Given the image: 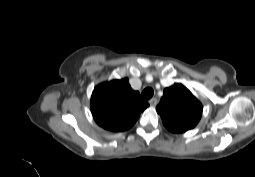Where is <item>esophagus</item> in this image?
Here are the masks:
<instances>
[{
	"label": "esophagus",
	"mask_w": 255,
	"mask_h": 177,
	"mask_svg": "<svg viewBox=\"0 0 255 177\" xmlns=\"http://www.w3.org/2000/svg\"><path fill=\"white\" fill-rule=\"evenodd\" d=\"M158 103V100L156 98H152L151 100H149V104L151 106H156Z\"/></svg>",
	"instance_id": "1"
}]
</instances>
